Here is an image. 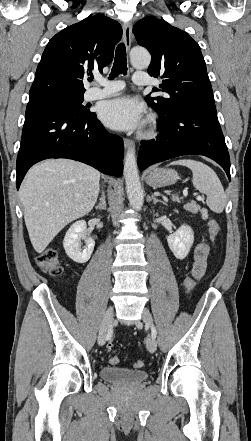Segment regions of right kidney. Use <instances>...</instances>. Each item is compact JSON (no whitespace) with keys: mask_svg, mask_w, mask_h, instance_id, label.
I'll return each instance as SVG.
<instances>
[{"mask_svg":"<svg viewBox=\"0 0 251 441\" xmlns=\"http://www.w3.org/2000/svg\"><path fill=\"white\" fill-rule=\"evenodd\" d=\"M86 229V222L79 220L70 226L63 240L66 254L76 263H86L94 250L95 241L91 237L86 239V246L81 250L80 239H85Z\"/></svg>","mask_w":251,"mask_h":441,"instance_id":"1","label":"right kidney"}]
</instances>
